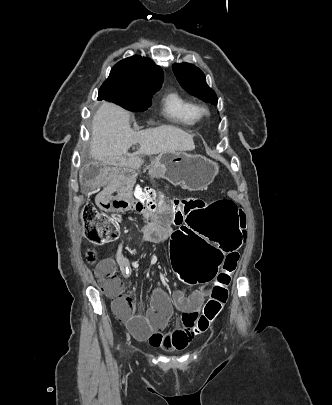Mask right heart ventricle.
<instances>
[{
    "label": "right heart ventricle",
    "instance_id": "e07e8e85",
    "mask_svg": "<svg viewBox=\"0 0 332 405\" xmlns=\"http://www.w3.org/2000/svg\"><path fill=\"white\" fill-rule=\"evenodd\" d=\"M161 104L164 115L172 121L193 125L200 119L197 103L176 90L166 93Z\"/></svg>",
    "mask_w": 332,
    "mask_h": 405
}]
</instances>
